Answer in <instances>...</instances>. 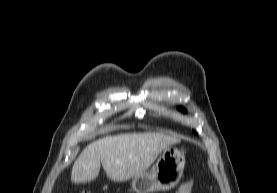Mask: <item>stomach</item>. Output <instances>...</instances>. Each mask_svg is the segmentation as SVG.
Here are the masks:
<instances>
[{"instance_id": "stomach-1", "label": "stomach", "mask_w": 277, "mask_h": 193, "mask_svg": "<svg viewBox=\"0 0 277 193\" xmlns=\"http://www.w3.org/2000/svg\"><path fill=\"white\" fill-rule=\"evenodd\" d=\"M185 166V154L176 148H166L150 171L133 177L131 186L136 193L168 191L180 181Z\"/></svg>"}]
</instances>
